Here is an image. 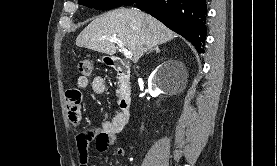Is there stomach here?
Returning <instances> with one entry per match:
<instances>
[{"label": "stomach", "instance_id": "1", "mask_svg": "<svg viewBox=\"0 0 277 166\" xmlns=\"http://www.w3.org/2000/svg\"><path fill=\"white\" fill-rule=\"evenodd\" d=\"M107 60H108V59H107L106 57H102L101 62H102V63H107Z\"/></svg>", "mask_w": 277, "mask_h": 166}]
</instances>
